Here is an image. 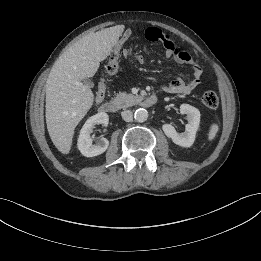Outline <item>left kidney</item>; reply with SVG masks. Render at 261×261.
<instances>
[{
    "mask_svg": "<svg viewBox=\"0 0 261 261\" xmlns=\"http://www.w3.org/2000/svg\"><path fill=\"white\" fill-rule=\"evenodd\" d=\"M180 112L187 115L188 124L185 125V132L178 133L170 124H164L162 129L166 136L171 138L175 144L182 147H190L195 141L196 132L199 128L200 111L189 104H182Z\"/></svg>",
    "mask_w": 261,
    "mask_h": 261,
    "instance_id": "obj_1",
    "label": "left kidney"
}]
</instances>
